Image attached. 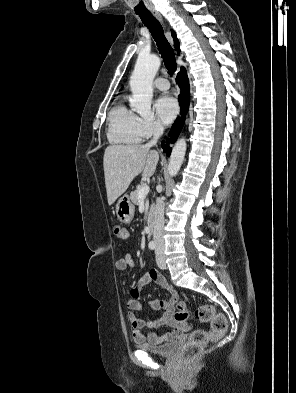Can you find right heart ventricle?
<instances>
[{"mask_svg":"<svg viewBox=\"0 0 296 393\" xmlns=\"http://www.w3.org/2000/svg\"><path fill=\"white\" fill-rule=\"evenodd\" d=\"M140 117L125 104L117 105L109 115L108 139L111 143L135 145L142 141Z\"/></svg>","mask_w":296,"mask_h":393,"instance_id":"1","label":"right heart ventricle"}]
</instances>
